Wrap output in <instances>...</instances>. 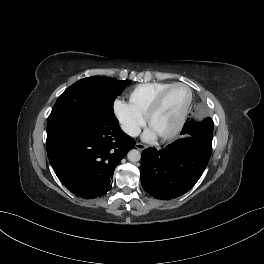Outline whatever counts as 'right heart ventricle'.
I'll return each mask as SVG.
<instances>
[{
    "instance_id": "obj_1",
    "label": "right heart ventricle",
    "mask_w": 264,
    "mask_h": 264,
    "mask_svg": "<svg viewBox=\"0 0 264 264\" xmlns=\"http://www.w3.org/2000/svg\"><path fill=\"white\" fill-rule=\"evenodd\" d=\"M170 83L151 82L135 86L128 93V104L141 116H144L156 95Z\"/></svg>"
}]
</instances>
